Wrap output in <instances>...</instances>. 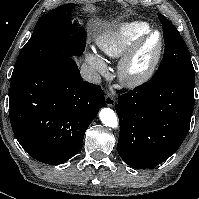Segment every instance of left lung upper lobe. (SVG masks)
<instances>
[{"instance_id":"5c2ea615","label":"left lung upper lobe","mask_w":199,"mask_h":199,"mask_svg":"<svg viewBox=\"0 0 199 199\" xmlns=\"http://www.w3.org/2000/svg\"><path fill=\"white\" fill-rule=\"evenodd\" d=\"M158 18L162 23L165 50L160 67L153 79L168 75L195 76L187 45L180 33L165 16L159 13Z\"/></svg>"}]
</instances>
